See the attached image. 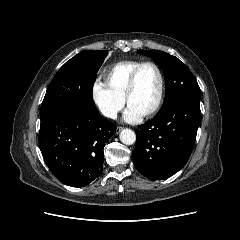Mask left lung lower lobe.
Wrapping results in <instances>:
<instances>
[{"label": "left lung lower lobe", "mask_w": 240, "mask_h": 240, "mask_svg": "<svg viewBox=\"0 0 240 240\" xmlns=\"http://www.w3.org/2000/svg\"><path fill=\"white\" fill-rule=\"evenodd\" d=\"M200 97L185 96L162 106L136 130L135 168L149 180H164L182 169L193 150L201 111Z\"/></svg>", "instance_id": "left-lung-lower-lobe-1"}]
</instances>
